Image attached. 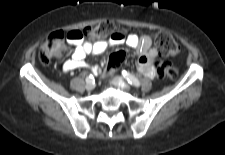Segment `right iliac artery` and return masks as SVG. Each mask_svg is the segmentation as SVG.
Returning <instances> with one entry per match:
<instances>
[{
	"label": "right iliac artery",
	"mask_w": 225,
	"mask_h": 155,
	"mask_svg": "<svg viewBox=\"0 0 225 155\" xmlns=\"http://www.w3.org/2000/svg\"><path fill=\"white\" fill-rule=\"evenodd\" d=\"M93 81H94L93 75H89V76L86 78V82H93Z\"/></svg>",
	"instance_id": "1"
}]
</instances>
